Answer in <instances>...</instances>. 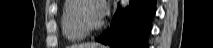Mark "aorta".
<instances>
[{
    "mask_svg": "<svg viewBox=\"0 0 213 48\" xmlns=\"http://www.w3.org/2000/svg\"><path fill=\"white\" fill-rule=\"evenodd\" d=\"M129 4H130V0H121V6L123 8L129 6Z\"/></svg>",
    "mask_w": 213,
    "mask_h": 48,
    "instance_id": "762f6f07",
    "label": "aorta"
}]
</instances>
